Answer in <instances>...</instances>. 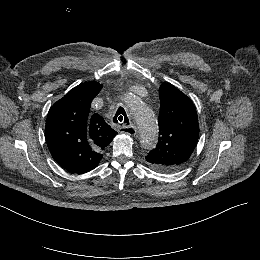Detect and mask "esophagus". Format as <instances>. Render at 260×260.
I'll return each instance as SVG.
<instances>
[{
	"label": "esophagus",
	"mask_w": 260,
	"mask_h": 260,
	"mask_svg": "<svg viewBox=\"0 0 260 260\" xmlns=\"http://www.w3.org/2000/svg\"><path fill=\"white\" fill-rule=\"evenodd\" d=\"M119 132L129 135H135L137 130L134 125H126L118 128Z\"/></svg>",
	"instance_id": "obj_1"
}]
</instances>
